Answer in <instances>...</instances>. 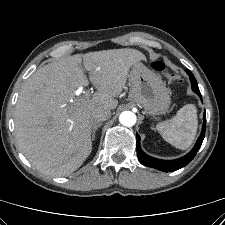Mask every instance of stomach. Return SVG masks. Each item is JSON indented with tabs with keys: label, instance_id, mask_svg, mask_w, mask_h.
Segmentation results:
<instances>
[{
	"label": "stomach",
	"instance_id": "stomach-1",
	"mask_svg": "<svg viewBox=\"0 0 225 225\" xmlns=\"http://www.w3.org/2000/svg\"><path fill=\"white\" fill-rule=\"evenodd\" d=\"M129 86L130 100L140 104L148 115H160L169 109L170 93L165 83L140 61L131 68Z\"/></svg>",
	"mask_w": 225,
	"mask_h": 225
}]
</instances>
